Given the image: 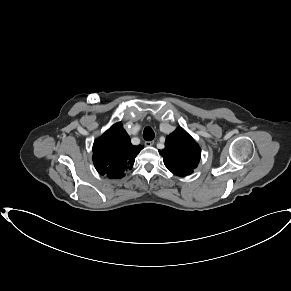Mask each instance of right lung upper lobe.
<instances>
[{
	"label": "right lung upper lobe",
	"mask_w": 291,
	"mask_h": 291,
	"mask_svg": "<svg viewBox=\"0 0 291 291\" xmlns=\"http://www.w3.org/2000/svg\"><path fill=\"white\" fill-rule=\"evenodd\" d=\"M143 146H133L124 130L122 123L118 122L109 128L93 145V163L101 175L109 179H119L132 168L135 157Z\"/></svg>",
	"instance_id": "right-lung-upper-lobe-1"
}]
</instances>
